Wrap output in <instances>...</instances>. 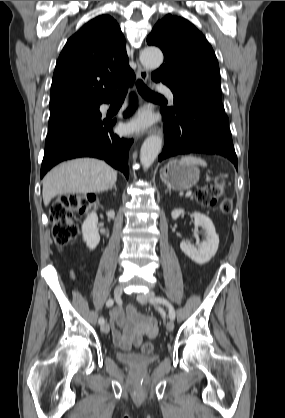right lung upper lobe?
Segmentation results:
<instances>
[{"mask_svg": "<svg viewBox=\"0 0 285 418\" xmlns=\"http://www.w3.org/2000/svg\"><path fill=\"white\" fill-rule=\"evenodd\" d=\"M134 77L119 25L111 16L100 15L65 44L53 74L49 107L108 103L117 85Z\"/></svg>", "mask_w": 285, "mask_h": 418, "instance_id": "obj_1", "label": "right lung upper lobe"}]
</instances>
